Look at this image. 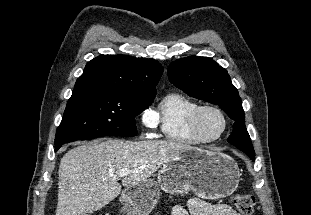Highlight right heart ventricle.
<instances>
[{
  "mask_svg": "<svg viewBox=\"0 0 311 215\" xmlns=\"http://www.w3.org/2000/svg\"><path fill=\"white\" fill-rule=\"evenodd\" d=\"M200 105L181 93L165 95L153 114L162 136L172 142L197 145L204 143L190 128V117Z\"/></svg>",
  "mask_w": 311,
  "mask_h": 215,
  "instance_id": "e07e8e85",
  "label": "right heart ventricle"
}]
</instances>
